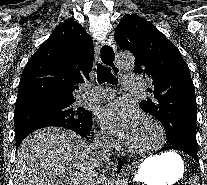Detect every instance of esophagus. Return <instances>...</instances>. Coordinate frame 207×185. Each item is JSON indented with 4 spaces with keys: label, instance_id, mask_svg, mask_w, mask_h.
I'll list each match as a JSON object with an SVG mask.
<instances>
[{
    "label": "esophagus",
    "instance_id": "1",
    "mask_svg": "<svg viewBox=\"0 0 207 185\" xmlns=\"http://www.w3.org/2000/svg\"><path fill=\"white\" fill-rule=\"evenodd\" d=\"M103 48H114V43H103ZM95 52L99 55V48L98 46L95 47ZM116 50H101V55H108V56H101V61H108L105 62V67H112V72H120V67H115L116 61ZM115 173H123L124 169L126 168L125 162L123 160H116L115 161Z\"/></svg>",
    "mask_w": 207,
    "mask_h": 185
}]
</instances>
